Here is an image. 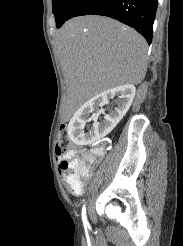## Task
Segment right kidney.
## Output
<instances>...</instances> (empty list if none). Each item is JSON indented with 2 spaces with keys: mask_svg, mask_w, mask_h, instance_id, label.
Segmentation results:
<instances>
[{
  "mask_svg": "<svg viewBox=\"0 0 183 246\" xmlns=\"http://www.w3.org/2000/svg\"><path fill=\"white\" fill-rule=\"evenodd\" d=\"M135 92L136 89L132 84L120 85L96 95L82 105L68 125V135L71 141L77 145H88L109 134L127 113ZM114 97H117V107L109 114H104L102 107ZM99 107L101 109L97 113H93ZM90 113H92L91 117H89ZM101 113L104 114V120L99 123L97 117ZM89 120L94 121L92 129L88 133H84L82 129Z\"/></svg>",
  "mask_w": 183,
  "mask_h": 246,
  "instance_id": "1",
  "label": "right kidney"
}]
</instances>
